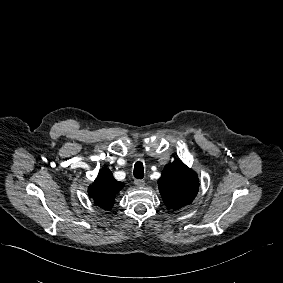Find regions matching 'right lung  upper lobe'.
Instances as JSON below:
<instances>
[{
	"instance_id": "obj_1",
	"label": "right lung upper lobe",
	"mask_w": 283,
	"mask_h": 283,
	"mask_svg": "<svg viewBox=\"0 0 283 283\" xmlns=\"http://www.w3.org/2000/svg\"><path fill=\"white\" fill-rule=\"evenodd\" d=\"M124 187V183L114 179L108 168H102L92 185L88 188L89 197L95 205L110 210L114 204L116 194Z\"/></svg>"
}]
</instances>
